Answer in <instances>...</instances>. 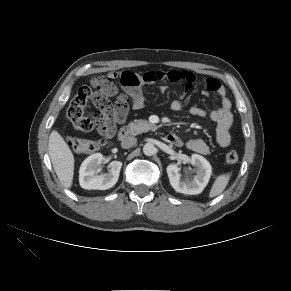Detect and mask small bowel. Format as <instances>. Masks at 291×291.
Instances as JSON below:
<instances>
[{
  "mask_svg": "<svg viewBox=\"0 0 291 291\" xmlns=\"http://www.w3.org/2000/svg\"><path fill=\"white\" fill-rule=\"evenodd\" d=\"M106 78L110 82V87L106 91L107 97H115L116 102L113 104L107 98L106 106L101 110V122L99 131L101 134L111 136L114 133L116 124L123 123L131 110H139L144 105L143 87L156 84L161 81H170L174 83H183L184 91L188 92L196 83V76L186 70H152L143 74L134 73L132 71H122L110 73ZM101 78L94 79L92 84H97ZM118 79L122 92L119 91L113 80ZM213 81L214 86L210 84ZM204 95L216 93L220 97V106L213 110L192 106L189 113L197 117H209L216 124V141L220 147H227L231 142L230 128L233 123V114L231 111V101L227 97L226 89L220 84L216 78H208L204 81ZM162 90L166 87L162 86ZM171 109L181 111L183 104L180 100H174L171 103ZM176 146H182L183 142L178 138ZM187 149L206 154L209 147L206 142L200 138L188 140L185 143Z\"/></svg>",
  "mask_w": 291,
  "mask_h": 291,
  "instance_id": "small-bowel-1",
  "label": "small bowel"
}]
</instances>
